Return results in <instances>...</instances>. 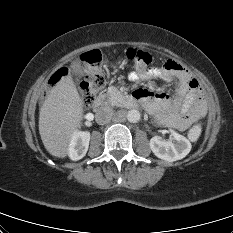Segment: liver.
<instances>
[{
  "label": "liver",
  "instance_id": "obj_1",
  "mask_svg": "<svg viewBox=\"0 0 233 233\" xmlns=\"http://www.w3.org/2000/svg\"><path fill=\"white\" fill-rule=\"evenodd\" d=\"M83 102L71 75L62 77L40 108L39 133L45 149L58 158L69 153V143L84 116Z\"/></svg>",
  "mask_w": 233,
  "mask_h": 233
}]
</instances>
